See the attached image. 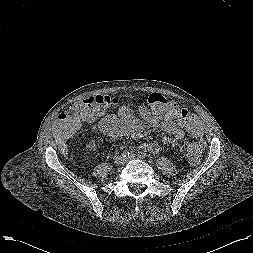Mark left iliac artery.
Returning <instances> with one entry per match:
<instances>
[{
	"instance_id": "left-iliac-artery-1",
	"label": "left iliac artery",
	"mask_w": 253,
	"mask_h": 253,
	"mask_svg": "<svg viewBox=\"0 0 253 253\" xmlns=\"http://www.w3.org/2000/svg\"><path fill=\"white\" fill-rule=\"evenodd\" d=\"M138 156L141 157V158H144L146 156V154L144 152H139Z\"/></svg>"
}]
</instances>
